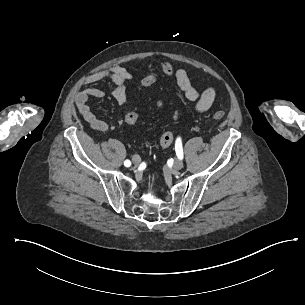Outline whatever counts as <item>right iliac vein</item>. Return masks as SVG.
I'll use <instances>...</instances> for the list:
<instances>
[{
  "label": "right iliac vein",
  "mask_w": 305,
  "mask_h": 305,
  "mask_svg": "<svg viewBox=\"0 0 305 305\" xmlns=\"http://www.w3.org/2000/svg\"><path fill=\"white\" fill-rule=\"evenodd\" d=\"M132 162L134 165H139L141 163V158L139 155H134L132 157Z\"/></svg>",
  "instance_id": "1"
}]
</instances>
